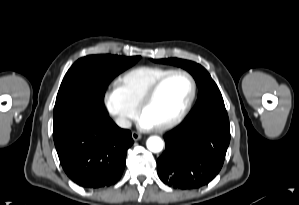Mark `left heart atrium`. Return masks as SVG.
<instances>
[{
    "instance_id": "obj_1",
    "label": "left heart atrium",
    "mask_w": 299,
    "mask_h": 205,
    "mask_svg": "<svg viewBox=\"0 0 299 205\" xmlns=\"http://www.w3.org/2000/svg\"><path fill=\"white\" fill-rule=\"evenodd\" d=\"M139 125L143 129H151L154 127V125L143 115L139 119Z\"/></svg>"
}]
</instances>
